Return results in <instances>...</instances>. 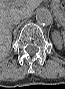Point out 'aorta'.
Returning a JSON list of instances; mask_svg holds the SVG:
<instances>
[{"mask_svg": "<svg viewBox=\"0 0 65 89\" xmlns=\"http://www.w3.org/2000/svg\"><path fill=\"white\" fill-rule=\"evenodd\" d=\"M36 21L42 26H49L53 22V16L49 9L40 8L36 12Z\"/></svg>", "mask_w": 65, "mask_h": 89, "instance_id": "obj_1", "label": "aorta"}]
</instances>
